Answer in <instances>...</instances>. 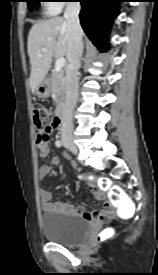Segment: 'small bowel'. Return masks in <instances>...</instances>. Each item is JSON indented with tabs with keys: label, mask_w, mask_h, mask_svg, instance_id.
I'll use <instances>...</instances> for the list:
<instances>
[{
	"label": "small bowel",
	"mask_w": 158,
	"mask_h": 275,
	"mask_svg": "<svg viewBox=\"0 0 158 275\" xmlns=\"http://www.w3.org/2000/svg\"><path fill=\"white\" fill-rule=\"evenodd\" d=\"M59 126V124H58ZM58 126L56 128H58ZM37 147L39 150V156L42 159H46L50 153V146L47 141H42L38 140L36 141ZM66 158H68L66 156ZM59 165V159L54 157L50 160L48 164H45L39 168V177L41 179L45 178L54 168H56ZM90 187L94 191V195L98 200L104 201L105 205L108 206V202L106 201L105 195L103 192L97 189V187L94 184H90ZM40 197H41V204L44 212H50L53 210L61 211L64 213H74L76 215H80L85 219L88 220H95L100 218V212L98 211H93V212H88L86 211L83 207L81 206H74L69 203H64L62 201H53L52 195L45 191L41 190L40 192Z\"/></svg>",
	"instance_id": "1"
}]
</instances>
